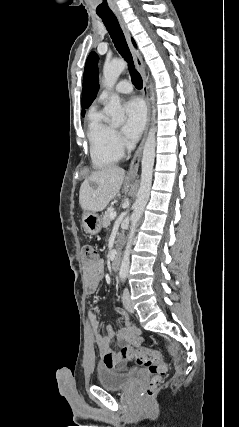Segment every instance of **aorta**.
<instances>
[{
    "label": "aorta",
    "instance_id": "1",
    "mask_svg": "<svg viewBox=\"0 0 239 427\" xmlns=\"http://www.w3.org/2000/svg\"><path fill=\"white\" fill-rule=\"evenodd\" d=\"M127 67V63L124 60H115L104 65L103 68V84L109 90H112L118 77ZM151 102H152V127L149 130L144 149L143 157L141 163V180L140 188L137 194L136 202L133 205V213L131 215V226L130 232L128 235V241L125 247L123 259L120 266L119 275L121 277H126L129 272L130 264V253L132 248V243L134 240L137 223L142 216L145 206L149 200L150 189L152 184V174H153V165L155 158V95L153 92V86H151ZM105 113L111 118V123L114 125H120L124 122L125 112L120 103V98L117 94L112 93L110 101L105 107Z\"/></svg>",
    "mask_w": 239,
    "mask_h": 427
}]
</instances>
